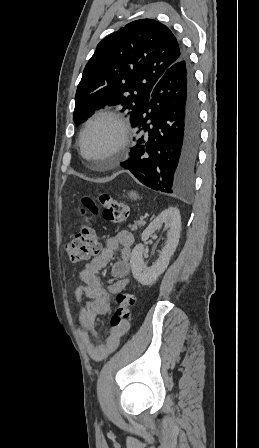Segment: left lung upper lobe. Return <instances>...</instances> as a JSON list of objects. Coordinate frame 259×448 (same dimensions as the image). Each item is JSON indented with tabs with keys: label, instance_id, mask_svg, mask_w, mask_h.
<instances>
[{
	"label": "left lung upper lobe",
	"instance_id": "1",
	"mask_svg": "<svg viewBox=\"0 0 259 448\" xmlns=\"http://www.w3.org/2000/svg\"><path fill=\"white\" fill-rule=\"evenodd\" d=\"M182 55L175 35L156 20H136L110 34L84 68L75 95V124L105 106L121 105L129 117L141 110L158 80Z\"/></svg>",
	"mask_w": 259,
	"mask_h": 448
}]
</instances>
